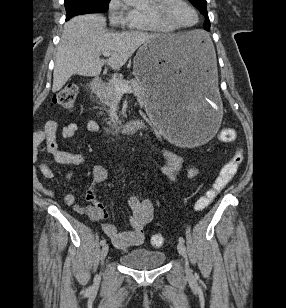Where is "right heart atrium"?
Masks as SVG:
<instances>
[{"instance_id": "1", "label": "right heart atrium", "mask_w": 286, "mask_h": 308, "mask_svg": "<svg viewBox=\"0 0 286 308\" xmlns=\"http://www.w3.org/2000/svg\"><path fill=\"white\" fill-rule=\"evenodd\" d=\"M107 14L113 26L127 28L133 21L134 10L126 0H108Z\"/></svg>"}]
</instances>
